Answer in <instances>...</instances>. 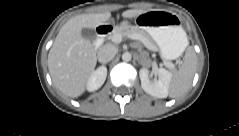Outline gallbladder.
Here are the masks:
<instances>
[{
  "mask_svg": "<svg viewBox=\"0 0 239 136\" xmlns=\"http://www.w3.org/2000/svg\"><path fill=\"white\" fill-rule=\"evenodd\" d=\"M81 35L84 39L89 40L90 42H93L97 37L95 31L90 28H83Z\"/></svg>",
  "mask_w": 239,
  "mask_h": 136,
  "instance_id": "gallbladder-1",
  "label": "gallbladder"
}]
</instances>
